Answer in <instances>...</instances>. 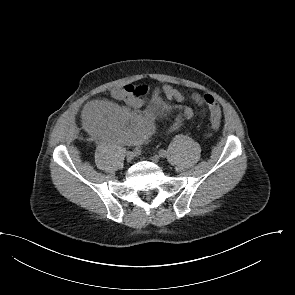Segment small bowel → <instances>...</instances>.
<instances>
[{"label":"small bowel","instance_id":"c3829d8e","mask_svg":"<svg viewBox=\"0 0 295 295\" xmlns=\"http://www.w3.org/2000/svg\"><path fill=\"white\" fill-rule=\"evenodd\" d=\"M150 92L148 86L126 84L112 89L111 95L118 100L124 101L134 110L129 111L119 108L108 101L89 102L82 113L85 124L94 132L104 138H108L120 143L139 144L148 139L154 131L151 109L145 112H139L145 104V97ZM152 98L157 103H162L161 95L164 94L168 99L177 102L185 100L184 94L169 84H164L152 91ZM191 99L201 108V113H205L204 96L198 92H191ZM180 111V117L173 125V130L179 128L183 119H189L193 116V110L190 107L177 105L175 107ZM220 122L212 123L213 129L220 127Z\"/></svg>","mask_w":295,"mask_h":295}]
</instances>
